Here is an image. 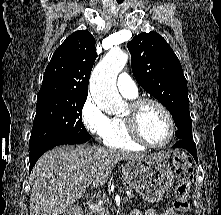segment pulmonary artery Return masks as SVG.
I'll return each instance as SVG.
<instances>
[{
  "label": "pulmonary artery",
  "instance_id": "obj_1",
  "mask_svg": "<svg viewBox=\"0 0 221 215\" xmlns=\"http://www.w3.org/2000/svg\"><path fill=\"white\" fill-rule=\"evenodd\" d=\"M117 87L124 96H136L138 94L136 83L127 73H121L118 76Z\"/></svg>",
  "mask_w": 221,
  "mask_h": 215
}]
</instances>
